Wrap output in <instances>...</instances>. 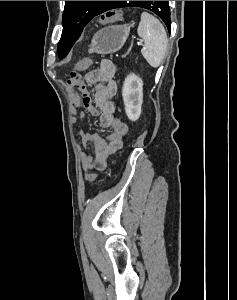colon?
Masks as SVG:
<instances>
[{"instance_id":"1","label":"colon","mask_w":237,"mask_h":300,"mask_svg":"<svg viewBox=\"0 0 237 300\" xmlns=\"http://www.w3.org/2000/svg\"><path fill=\"white\" fill-rule=\"evenodd\" d=\"M120 18H121V12L118 10H112L103 14L100 18V22L102 24L113 23L120 20ZM91 62L92 61L90 58H85L77 62L74 67V70L69 75L68 84L71 86H77L80 83V78H81L78 72L88 68L91 65ZM97 178L98 175L96 173H87L85 176V179L87 181H94Z\"/></svg>"}]
</instances>
